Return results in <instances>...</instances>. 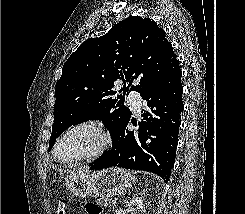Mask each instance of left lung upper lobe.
<instances>
[{
  "label": "left lung upper lobe",
  "instance_id": "1",
  "mask_svg": "<svg viewBox=\"0 0 245 214\" xmlns=\"http://www.w3.org/2000/svg\"><path fill=\"white\" fill-rule=\"evenodd\" d=\"M178 62L164 30L150 18L128 17L107 34L83 42L56 83L49 150L64 130L88 120H102L114 142L131 117L124 96L150 90ZM116 80L129 83L115 91ZM118 92L123 95L115 97Z\"/></svg>",
  "mask_w": 245,
  "mask_h": 214
}]
</instances>
